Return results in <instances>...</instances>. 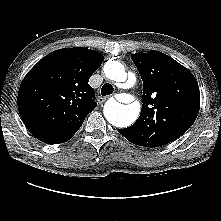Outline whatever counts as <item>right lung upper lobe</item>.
<instances>
[{
    "label": "right lung upper lobe",
    "mask_w": 221,
    "mask_h": 221,
    "mask_svg": "<svg viewBox=\"0 0 221 221\" xmlns=\"http://www.w3.org/2000/svg\"><path fill=\"white\" fill-rule=\"evenodd\" d=\"M104 57L83 47L56 50L25 76L18 110L28 130L47 144L64 143L97 106L88 84Z\"/></svg>",
    "instance_id": "cb5924a9"
}]
</instances>
